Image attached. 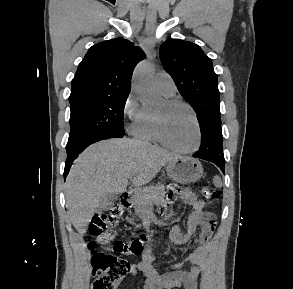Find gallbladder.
Instances as JSON below:
<instances>
[{"label": "gallbladder", "mask_w": 293, "mask_h": 289, "mask_svg": "<svg viewBox=\"0 0 293 289\" xmlns=\"http://www.w3.org/2000/svg\"><path fill=\"white\" fill-rule=\"evenodd\" d=\"M118 199V196L116 194H107L104 197L101 198L99 205L97 207L98 212L105 211L108 209L116 200Z\"/></svg>", "instance_id": "gallbladder-1"}]
</instances>
